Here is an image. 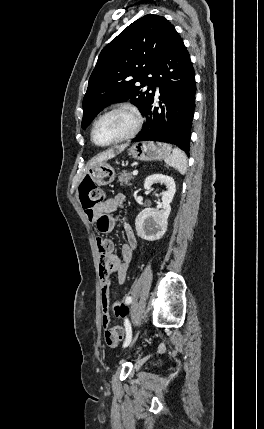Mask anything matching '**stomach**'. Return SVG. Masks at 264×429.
Wrapping results in <instances>:
<instances>
[{"instance_id":"obj_1","label":"stomach","mask_w":264,"mask_h":429,"mask_svg":"<svg viewBox=\"0 0 264 429\" xmlns=\"http://www.w3.org/2000/svg\"><path fill=\"white\" fill-rule=\"evenodd\" d=\"M171 146L162 142H137L129 149V154L140 161L161 160L171 153ZM87 175L98 185H106L113 181L115 177L114 169L107 162H100L91 166Z\"/></svg>"}]
</instances>
